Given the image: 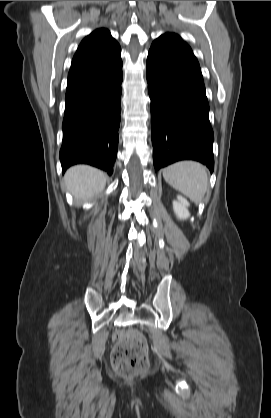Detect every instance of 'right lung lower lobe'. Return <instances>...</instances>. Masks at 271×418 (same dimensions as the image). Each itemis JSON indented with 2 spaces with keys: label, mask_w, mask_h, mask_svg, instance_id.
<instances>
[{
  "label": "right lung lower lobe",
  "mask_w": 271,
  "mask_h": 418,
  "mask_svg": "<svg viewBox=\"0 0 271 418\" xmlns=\"http://www.w3.org/2000/svg\"><path fill=\"white\" fill-rule=\"evenodd\" d=\"M122 60L113 67L66 93L62 170L85 163L113 173L118 148L121 112Z\"/></svg>",
  "instance_id": "right-lung-lower-lobe-1"
}]
</instances>
